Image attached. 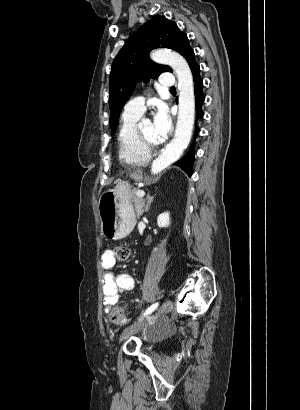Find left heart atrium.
<instances>
[{
  "mask_svg": "<svg viewBox=\"0 0 300 410\" xmlns=\"http://www.w3.org/2000/svg\"><path fill=\"white\" fill-rule=\"evenodd\" d=\"M153 129L157 143L165 141L171 130V118L167 108L159 104L153 117Z\"/></svg>",
  "mask_w": 300,
  "mask_h": 410,
  "instance_id": "39dd6f15",
  "label": "left heart atrium"
}]
</instances>
